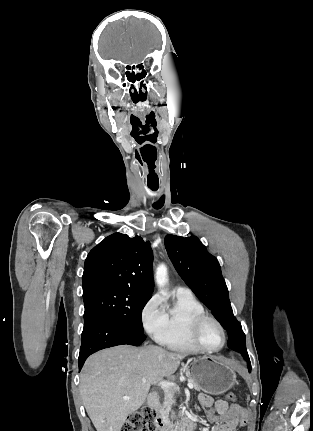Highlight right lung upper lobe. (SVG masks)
I'll list each match as a JSON object with an SVG mask.
<instances>
[{
    "label": "right lung upper lobe",
    "mask_w": 313,
    "mask_h": 431,
    "mask_svg": "<svg viewBox=\"0 0 313 431\" xmlns=\"http://www.w3.org/2000/svg\"><path fill=\"white\" fill-rule=\"evenodd\" d=\"M153 254L149 241L114 233L88 254L82 277L83 297L111 288H129L152 296Z\"/></svg>",
    "instance_id": "1"
}]
</instances>
